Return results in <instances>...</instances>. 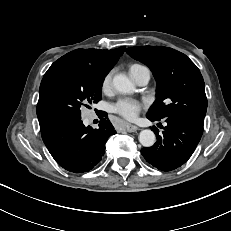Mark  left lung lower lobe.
<instances>
[{
	"label": "left lung lower lobe",
	"instance_id": "1",
	"mask_svg": "<svg viewBox=\"0 0 231 231\" xmlns=\"http://www.w3.org/2000/svg\"><path fill=\"white\" fill-rule=\"evenodd\" d=\"M147 118L157 120L149 116ZM166 122L162 136L155 126L151 127L157 135V142L141 149V154L149 164L165 172L180 167L191 157L203 133V126L185 119L167 118Z\"/></svg>",
	"mask_w": 231,
	"mask_h": 231
}]
</instances>
